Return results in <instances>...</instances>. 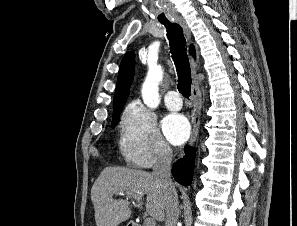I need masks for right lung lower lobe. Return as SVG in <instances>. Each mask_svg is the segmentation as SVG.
I'll list each match as a JSON object with an SVG mask.
<instances>
[{
    "label": "right lung lower lobe",
    "mask_w": 297,
    "mask_h": 226,
    "mask_svg": "<svg viewBox=\"0 0 297 226\" xmlns=\"http://www.w3.org/2000/svg\"><path fill=\"white\" fill-rule=\"evenodd\" d=\"M186 155L172 166V175L182 185H190L193 177L195 153L190 147H185Z\"/></svg>",
    "instance_id": "obj_1"
}]
</instances>
